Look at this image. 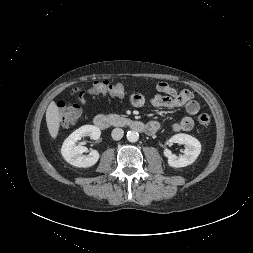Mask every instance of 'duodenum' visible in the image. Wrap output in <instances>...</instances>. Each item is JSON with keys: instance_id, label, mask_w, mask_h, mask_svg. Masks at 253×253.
<instances>
[{"instance_id": "410a0bca", "label": "duodenum", "mask_w": 253, "mask_h": 253, "mask_svg": "<svg viewBox=\"0 0 253 253\" xmlns=\"http://www.w3.org/2000/svg\"><path fill=\"white\" fill-rule=\"evenodd\" d=\"M94 124L102 130H107L112 127V121L110 118L103 114L95 116ZM129 126L132 130L137 132H148L149 130V127L140 121H132Z\"/></svg>"}]
</instances>
